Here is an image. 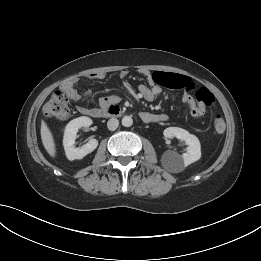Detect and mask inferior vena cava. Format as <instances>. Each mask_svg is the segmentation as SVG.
<instances>
[{
    "mask_svg": "<svg viewBox=\"0 0 261 261\" xmlns=\"http://www.w3.org/2000/svg\"><path fill=\"white\" fill-rule=\"evenodd\" d=\"M119 126V121L115 118H111L108 122H107V127L109 130L114 131L118 128Z\"/></svg>",
    "mask_w": 261,
    "mask_h": 261,
    "instance_id": "inferior-vena-cava-1",
    "label": "inferior vena cava"
}]
</instances>
